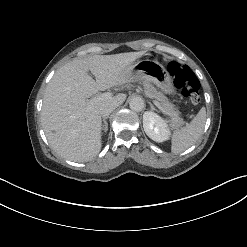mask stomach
<instances>
[{
	"label": "stomach",
	"mask_w": 247,
	"mask_h": 247,
	"mask_svg": "<svg viewBox=\"0 0 247 247\" xmlns=\"http://www.w3.org/2000/svg\"><path fill=\"white\" fill-rule=\"evenodd\" d=\"M129 72L133 78L153 82L166 94H175V87L167 70L152 60L133 61L130 64Z\"/></svg>",
	"instance_id": "obj_1"
}]
</instances>
